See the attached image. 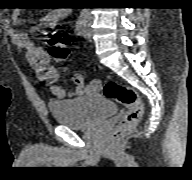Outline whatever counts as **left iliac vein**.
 I'll return each instance as SVG.
<instances>
[{
  "mask_svg": "<svg viewBox=\"0 0 192 180\" xmlns=\"http://www.w3.org/2000/svg\"><path fill=\"white\" fill-rule=\"evenodd\" d=\"M83 37L85 39L89 40V41L92 38V33H91L90 23L89 22L85 25V28H84V31H83Z\"/></svg>",
  "mask_w": 192,
  "mask_h": 180,
  "instance_id": "obj_1",
  "label": "left iliac vein"
}]
</instances>
